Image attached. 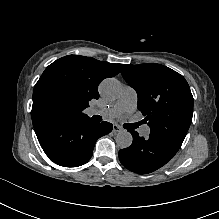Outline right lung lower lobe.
Masks as SVG:
<instances>
[{
    "label": "right lung lower lobe",
    "mask_w": 219,
    "mask_h": 219,
    "mask_svg": "<svg viewBox=\"0 0 219 219\" xmlns=\"http://www.w3.org/2000/svg\"><path fill=\"white\" fill-rule=\"evenodd\" d=\"M32 122L45 154L64 167L88 162L96 141L113 128L111 123H98L90 118H40Z\"/></svg>",
    "instance_id": "1"
}]
</instances>
